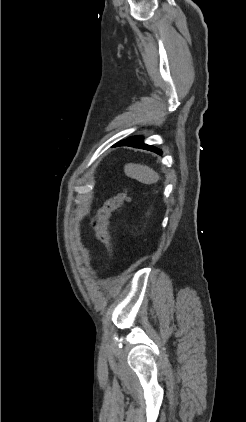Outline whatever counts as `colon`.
I'll return each instance as SVG.
<instances>
[{
    "mask_svg": "<svg viewBox=\"0 0 246 422\" xmlns=\"http://www.w3.org/2000/svg\"><path fill=\"white\" fill-rule=\"evenodd\" d=\"M127 200V192L121 191L108 198L92 219V227L95 237L105 245L108 254L114 257L116 249L110 231V219L112 214L118 210Z\"/></svg>",
    "mask_w": 246,
    "mask_h": 422,
    "instance_id": "5ec220e1",
    "label": "colon"
}]
</instances>
